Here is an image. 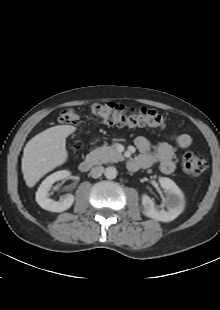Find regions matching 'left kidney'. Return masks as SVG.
Wrapping results in <instances>:
<instances>
[{"instance_id": "obj_1", "label": "left kidney", "mask_w": 220, "mask_h": 310, "mask_svg": "<svg viewBox=\"0 0 220 310\" xmlns=\"http://www.w3.org/2000/svg\"><path fill=\"white\" fill-rule=\"evenodd\" d=\"M159 183L167 193L166 206L168 211L155 208L152 199L144 194L142 195L143 213L147 217L153 218L162 222H170L174 220L180 213L183 207L184 195L181 189L174 181L166 177H160Z\"/></svg>"}]
</instances>
